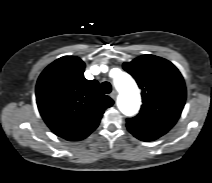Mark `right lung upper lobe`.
I'll list each match as a JSON object with an SVG mask.
<instances>
[{"label": "right lung upper lobe", "mask_w": 212, "mask_h": 183, "mask_svg": "<svg viewBox=\"0 0 212 183\" xmlns=\"http://www.w3.org/2000/svg\"><path fill=\"white\" fill-rule=\"evenodd\" d=\"M84 62L65 56L51 63L40 75L36 86L39 112L58 136L82 140L93 132L113 100L104 95L96 80L84 77Z\"/></svg>", "instance_id": "right-lung-upper-lobe-1"}]
</instances>
